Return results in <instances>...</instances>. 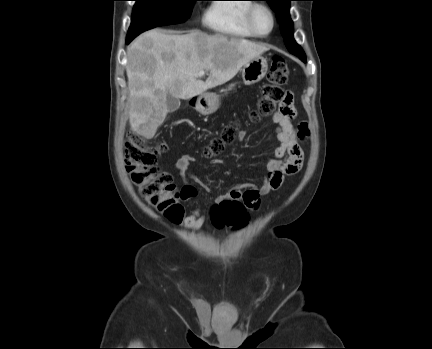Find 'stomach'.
Listing matches in <instances>:
<instances>
[{
    "label": "stomach",
    "mask_w": 432,
    "mask_h": 349,
    "mask_svg": "<svg viewBox=\"0 0 432 349\" xmlns=\"http://www.w3.org/2000/svg\"><path fill=\"white\" fill-rule=\"evenodd\" d=\"M268 70L267 59L258 56L253 58L242 69V79L245 85H252L264 78ZM230 85L228 90L234 89ZM220 106V96L216 93L204 92L196 98L195 109L202 115H210L217 111Z\"/></svg>",
    "instance_id": "0dacf381"
}]
</instances>
